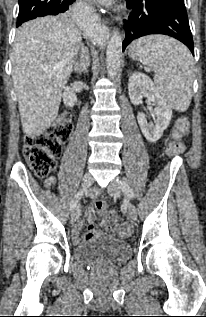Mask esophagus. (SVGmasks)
<instances>
[{
    "instance_id": "34e87169",
    "label": "esophagus",
    "mask_w": 206,
    "mask_h": 317,
    "mask_svg": "<svg viewBox=\"0 0 206 317\" xmlns=\"http://www.w3.org/2000/svg\"><path fill=\"white\" fill-rule=\"evenodd\" d=\"M106 35L108 36V31H107V29H106Z\"/></svg>"
}]
</instances>
